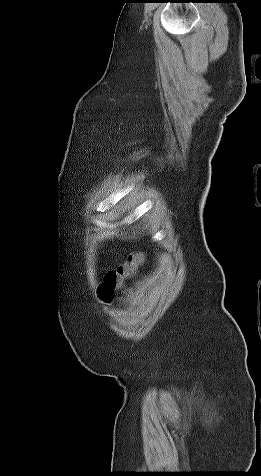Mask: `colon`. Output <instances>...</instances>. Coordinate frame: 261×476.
Returning a JSON list of instances; mask_svg holds the SVG:
<instances>
[{
  "mask_svg": "<svg viewBox=\"0 0 261 476\" xmlns=\"http://www.w3.org/2000/svg\"><path fill=\"white\" fill-rule=\"evenodd\" d=\"M141 262L142 256L134 254L127 263L120 266L117 270L109 272L101 286L102 296L106 300H111L115 290L124 286V282L134 275Z\"/></svg>",
  "mask_w": 261,
  "mask_h": 476,
  "instance_id": "obj_1",
  "label": "colon"
}]
</instances>
